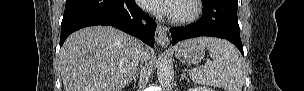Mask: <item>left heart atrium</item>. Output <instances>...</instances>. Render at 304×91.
Returning <instances> with one entry per match:
<instances>
[{
  "mask_svg": "<svg viewBox=\"0 0 304 91\" xmlns=\"http://www.w3.org/2000/svg\"><path fill=\"white\" fill-rule=\"evenodd\" d=\"M176 0H142L141 6L149 11L173 15Z\"/></svg>",
  "mask_w": 304,
  "mask_h": 91,
  "instance_id": "1",
  "label": "left heart atrium"
}]
</instances>
